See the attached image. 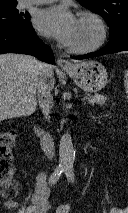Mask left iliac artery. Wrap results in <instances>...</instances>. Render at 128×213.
<instances>
[{"label":"left iliac artery","instance_id":"obj_1","mask_svg":"<svg viewBox=\"0 0 128 213\" xmlns=\"http://www.w3.org/2000/svg\"><path fill=\"white\" fill-rule=\"evenodd\" d=\"M65 174H66L68 181L73 183L74 182L73 165H71V164L66 165Z\"/></svg>","mask_w":128,"mask_h":213}]
</instances>
